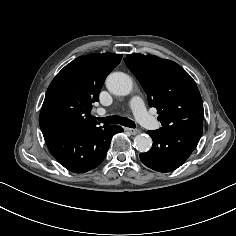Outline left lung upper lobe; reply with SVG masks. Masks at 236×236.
Wrapping results in <instances>:
<instances>
[{"label": "left lung upper lobe", "mask_w": 236, "mask_h": 236, "mask_svg": "<svg viewBox=\"0 0 236 236\" xmlns=\"http://www.w3.org/2000/svg\"><path fill=\"white\" fill-rule=\"evenodd\" d=\"M157 109L161 130H203V102L192 77L177 63L153 55L130 54L124 58Z\"/></svg>", "instance_id": "5c2ea615"}]
</instances>
